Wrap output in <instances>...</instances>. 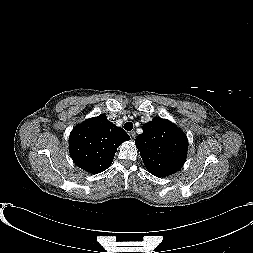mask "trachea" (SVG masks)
Here are the masks:
<instances>
[{"label":"trachea","instance_id":"obj_1","mask_svg":"<svg viewBox=\"0 0 253 253\" xmlns=\"http://www.w3.org/2000/svg\"><path fill=\"white\" fill-rule=\"evenodd\" d=\"M124 129L127 131H131L133 129V123L132 122H126L124 124Z\"/></svg>","mask_w":253,"mask_h":253}]
</instances>
